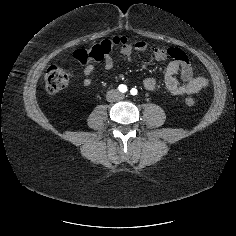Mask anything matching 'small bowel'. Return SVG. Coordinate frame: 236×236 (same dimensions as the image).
<instances>
[{
    "label": "small bowel",
    "mask_w": 236,
    "mask_h": 236,
    "mask_svg": "<svg viewBox=\"0 0 236 236\" xmlns=\"http://www.w3.org/2000/svg\"><path fill=\"white\" fill-rule=\"evenodd\" d=\"M148 44L145 41H137L135 43L126 42L121 47V53L126 60L130 61L133 50L145 51L148 49ZM151 52L155 59L163 61L170 59L164 76V86L173 95L184 96L195 94L207 87L208 81L204 77H194L193 69L187 55L176 47H152ZM102 65L105 70L109 71L114 66V61L108 55L103 61ZM95 71V66L88 63L83 68L82 84L89 87L92 84V75ZM180 75V81L176 75ZM143 86L149 90L154 91L159 87V81L155 77H146L143 80Z\"/></svg>",
    "instance_id": "c3829d8e"
}]
</instances>
